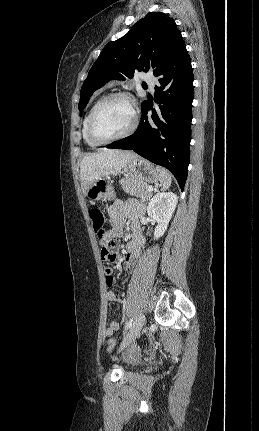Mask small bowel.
<instances>
[{
    "label": "small bowel",
    "mask_w": 259,
    "mask_h": 431,
    "mask_svg": "<svg viewBox=\"0 0 259 431\" xmlns=\"http://www.w3.org/2000/svg\"><path fill=\"white\" fill-rule=\"evenodd\" d=\"M141 212V205L136 203L126 204L122 201H117L113 206L108 209V217L111 224V229L107 232L109 238L119 237L123 233L124 224L127 221L131 222V239L127 243L125 248V254L122 257L123 268L128 273L133 272L135 263L141 255L143 236L140 226L136 220L137 215H139ZM104 273L106 285L109 288L114 287L115 281L112 275V269L110 267H106L104 269ZM106 299L111 303H123L124 295H118L113 291H109L106 295ZM118 329L119 323L116 321H112L105 329V333L107 335H111Z\"/></svg>",
    "instance_id": "1"
}]
</instances>
